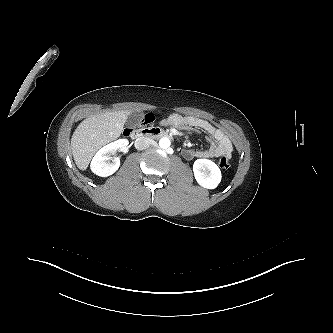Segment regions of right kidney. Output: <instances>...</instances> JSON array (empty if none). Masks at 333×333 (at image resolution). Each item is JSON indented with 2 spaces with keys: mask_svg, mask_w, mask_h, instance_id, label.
<instances>
[{
  "mask_svg": "<svg viewBox=\"0 0 333 333\" xmlns=\"http://www.w3.org/2000/svg\"><path fill=\"white\" fill-rule=\"evenodd\" d=\"M128 144L127 139H119L102 147L91 161V171L101 177H108L115 173L120 166V159L111 155L118 150L125 152Z\"/></svg>",
  "mask_w": 333,
  "mask_h": 333,
  "instance_id": "obj_1",
  "label": "right kidney"
}]
</instances>
